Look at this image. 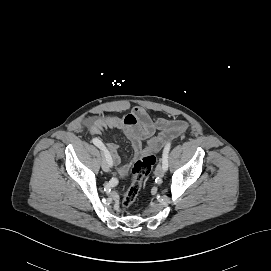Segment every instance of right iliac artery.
<instances>
[{
	"label": "right iliac artery",
	"mask_w": 271,
	"mask_h": 271,
	"mask_svg": "<svg viewBox=\"0 0 271 271\" xmlns=\"http://www.w3.org/2000/svg\"><path fill=\"white\" fill-rule=\"evenodd\" d=\"M92 142L94 145H96L99 149H101L104 152L105 156L107 157L109 161V164L112 165V159H111L110 153L108 152V150L106 149L102 141L99 140L98 138H93Z\"/></svg>",
	"instance_id": "obj_1"
}]
</instances>
